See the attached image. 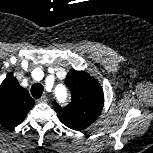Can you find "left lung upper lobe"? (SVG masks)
Listing matches in <instances>:
<instances>
[{
  "label": "left lung upper lobe",
  "mask_w": 153,
  "mask_h": 153,
  "mask_svg": "<svg viewBox=\"0 0 153 153\" xmlns=\"http://www.w3.org/2000/svg\"><path fill=\"white\" fill-rule=\"evenodd\" d=\"M71 92V102L65 108L56 101L53 107L60 121L67 127L80 131L90 126L100 115L104 95L100 84L84 71L71 70L65 79Z\"/></svg>",
  "instance_id": "1"
}]
</instances>
